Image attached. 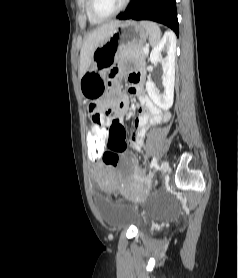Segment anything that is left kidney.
<instances>
[{
	"mask_svg": "<svg viewBox=\"0 0 238 278\" xmlns=\"http://www.w3.org/2000/svg\"><path fill=\"white\" fill-rule=\"evenodd\" d=\"M162 53L166 56L162 58ZM175 57L176 38L171 32H166L162 40L153 48L150 53V61L153 64L161 63L163 69L162 84L164 92L159 93L153 81L146 82V90L154 102L162 110H168L173 105L174 82H175Z\"/></svg>",
	"mask_w": 238,
	"mask_h": 278,
	"instance_id": "1",
	"label": "left kidney"
}]
</instances>
